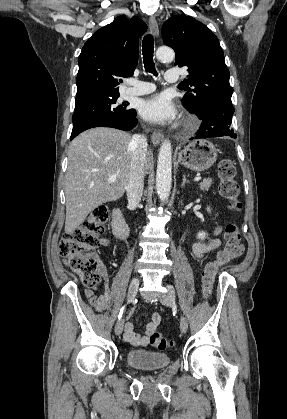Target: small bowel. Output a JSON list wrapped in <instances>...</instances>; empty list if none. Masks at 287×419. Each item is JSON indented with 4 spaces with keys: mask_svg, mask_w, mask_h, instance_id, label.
I'll return each instance as SVG.
<instances>
[{
    "mask_svg": "<svg viewBox=\"0 0 287 419\" xmlns=\"http://www.w3.org/2000/svg\"><path fill=\"white\" fill-rule=\"evenodd\" d=\"M220 232V228H216L214 231L215 235H218ZM103 244H108V241L103 239ZM220 246V240L217 238L212 239L209 242H197L193 245L192 251L193 254L200 258L202 257L206 252H209L217 247ZM101 275L108 283V274L104 268L100 269ZM86 298L88 299V302L90 305H92L96 310L101 311L106 308H108V292H105L104 294L100 296H96L92 292L88 291L86 292ZM161 322V316L158 313L152 314V320L150 323H148L146 332L144 335H139L134 332L133 324L131 322H126L125 324V333L124 338L125 340L130 343L131 345L135 347H143L146 346L149 343L150 337L152 334H154Z\"/></svg>",
    "mask_w": 287,
    "mask_h": 419,
    "instance_id": "obj_1",
    "label": "small bowel"
}]
</instances>
